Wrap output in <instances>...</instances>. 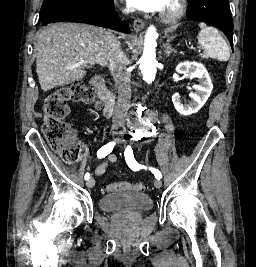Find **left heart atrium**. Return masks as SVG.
Wrapping results in <instances>:
<instances>
[{
  "label": "left heart atrium",
  "mask_w": 256,
  "mask_h": 267,
  "mask_svg": "<svg viewBox=\"0 0 256 267\" xmlns=\"http://www.w3.org/2000/svg\"><path fill=\"white\" fill-rule=\"evenodd\" d=\"M143 9L148 12L164 15L170 8L169 0H143Z\"/></svg>",
  "instance_id": "1"
}]
</instances>
